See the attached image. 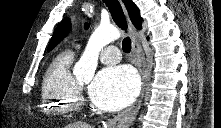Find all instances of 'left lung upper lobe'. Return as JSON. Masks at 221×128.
<instances>
[{"label":"left lung upper lobe","mask_w":221,"mask_h":128,"mask_svg":"<svg viewBox=\"0 0 221 128\" xmlns=\"http://www.w3.org/2000/svg\"><path fill=\"white\" fill-rule=\"evenodd\" d=\"M85 28H88V24H85Z\"/></svg>","instance_id":"obj_1"}]
</instances>
